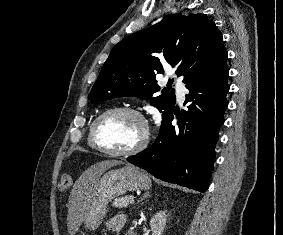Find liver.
Here are the masks:
<instances>
[{"label": "liver", "mask_w": 283, "mask_h": 235, "mask_svg": "<svg viewBox=\"0 0 283 235\" xmlns=\"http://www.w3.org/2000/svg\"><path fill=\"white\" fill-rule=\"evenodd\" d=\"M121 163L117 160H106L96 163L88 168L75 182L68 203L67 220L70 234L76 233L82 224L90 194L102 173Z\"/></svg>", "instance_id": "liver-1"}]
</instances>
